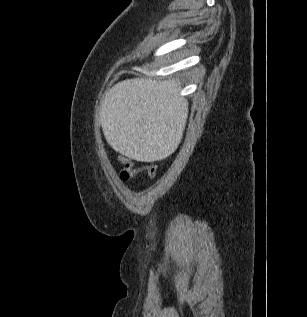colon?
<instances>
[{"mask_svg": "<svg viewBox=\"0 0 307 317\" xmlns=\"http://www.w3.org/2000/svg\"><path fill=\"white\" fill-rule=\"evenodd\" d=\"M118 162L123 166L119 177L124 182L132 179L140 171H146L150 180L156 177L157 166L153 163L146 164L140 168H135L132 160L125 156H119Z\"/></svg>", "mask_w": 307, "mask_h": 317, "instance_id": "colon-1", "label": "colon"}]
</instances>
